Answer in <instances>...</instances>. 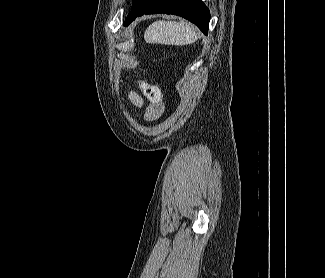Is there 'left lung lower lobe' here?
I'll list each match as a JSON object with an SVG mask.
<instances>
[{
  "mask_svg": "<svg viewBox=\"0 0 325 278\" xmlns=\"http://www.w3.org/2000/svg\"><path fill=\"white\" fill-rule=\"evenodd\" d=\"M156 13L181 16L198 26L204 34L208 32L210 12L202 0H133L124 26L139 16Z\"/></svg>",
  "mask_w": 325,
  "mask_h": 278,
  "instance_id": "0a47b994",
  "label": "left lung lower lobe"
}]
</instances>
